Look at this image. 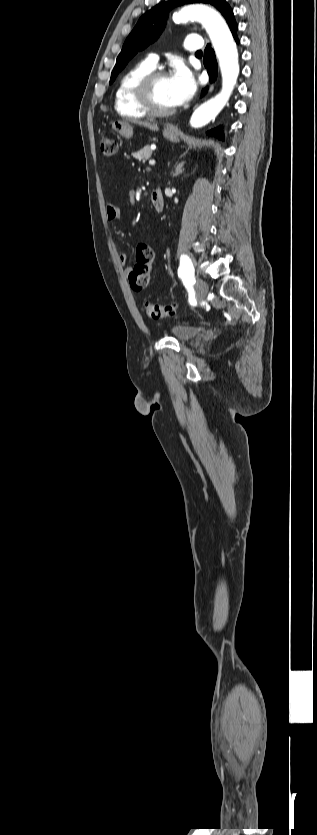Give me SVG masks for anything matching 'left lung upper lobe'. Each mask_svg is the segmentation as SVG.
<instances>
[{"label":"left lung upper lobe","mask_w":317,"mask_h":835,"mask_svg":"<svg viewBox=\"0 0 317 835\" xmlns=\"http://www.w3.org/2000/svg\"><path fill=\"white\" fill-rule=\"evenodd\" d=\"M185 3H205L213 5L219 10L224 17L231 10L226 0H170L162 2L149 11H147L137 22L136 26L129 34L122 47V51L117 57L116 65L112 71L110 83H112L118 73L126 66L128 61L137 52L146 48L150 43L154 42L162 33L170 6H177Z\"/></svg>","instance_id":"left-lung-upper-lobe-1"}]
</instances>
